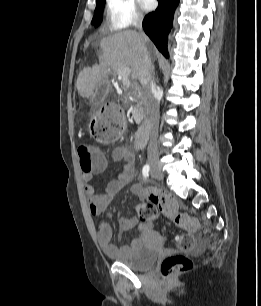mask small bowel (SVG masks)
<instances>
[{
	"instance_id": "obj_1",
	"label": "small bowel",
	"mask_w": 261,
	"mask_h": 306,
	"mask_svg": "<svg viewBox=\"0 0 261 306\" xmlns=\"http://www.w3.org/2000/svg\"><path fill=\"white\" fill-rule=\"evenodd\" d=\"M114 162H123L121 171L111 179L102 194H98L92 184L94 174L102 172L106 166L107 161L102 160L96 167L90 171H82L81 180L83 183L84 193L88 202V211L93 216H98L103 213L114 201L117 194L132 180L135 174L134 168V153L126 145L116 146L111 153ZM131 191L137 197L142 199L144 193L139 184H133ZM139 220L135 215L122 216L118 218V225L120 228L129 230L138 224ZM113 229L107 222H101L97 230V241L107 256L124 257L129 255L131 247H118L112 243Z\"/></svg>"
}]
</instances>
